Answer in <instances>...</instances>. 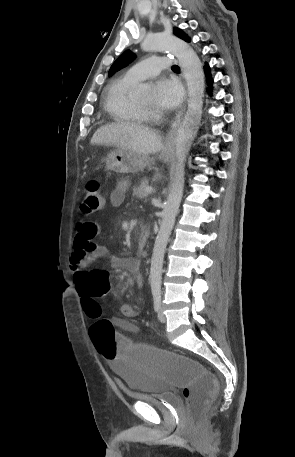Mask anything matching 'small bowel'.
<instances>
[{
  "mask_svg": "<svg viewBox=\"0 0 295 457\" xmlns=\"http://www.w3.org/2000/svg\"><path fill=\"white\" fill-rule=\"evenodd\" d=\"M127 182H119L117 187L110 193V203L113 207L122 205L127 191ZM99 226L87 219H83L76 224V235L74 240V252L70 259V270L78 292L81 295V287L87 281V268L92 259L106 258L113 267H123L128 270L134 277L138 286L143 285V277L140 273L139 263L133 258L118 257L110 253L109 249L94 241L95 236L99 233ZM121 314L124 318H133L136 312L132 305L122 304L120 307ZM113 324L118 328L133 332L137 328L125 319L114 318ZM128 341H131L128 338ZM111 363L112 360H109Z\"/></svg>",
  "mask_w": 295,
  "mask_h": 457,
  "instance_id": "c3829d8e",
  "label": "small bowel"
}]
</instances>
